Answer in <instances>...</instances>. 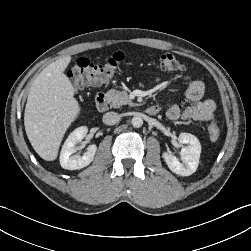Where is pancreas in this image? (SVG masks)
<instances>
[{"label": "pancreas", "instance_id": "1", "mask_svg": "<svg viewBox=\"0 0 251 251\" xmlns=\"http://www.w3.org/2000/svg\"><path fill=\"white\" fill-rule=\"evenodd\" d=\"M106 96L108 97L109 101L111 102V106L113 108H119L122 105H131L134 104L128 97V93L126 91H119L111 89L106 93Z\"/></svg>", "mask_w": 251, "mask_h": 251}]
</instances>
